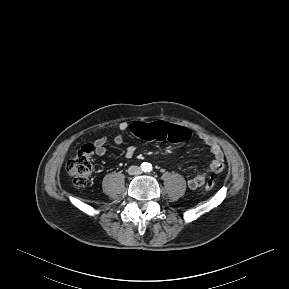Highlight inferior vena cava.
I'll use <instances>...</instances> for the list:
<instances>
[{"instance_id":"1","label":"inferior vena cava","mask_w":289,"mask_h":289,"mask_svg":"<svg viewBox=\"0 0 289 289\" xmlns=\"http://www.w3.org/2000/svg\"><path fill=\"white\" fill-rule=\"evenodd\" d=\"M128 173L130 175H139V174L142 173V170L138 166H130L129 169H128Z\"/></svg>"}]
</instances>
